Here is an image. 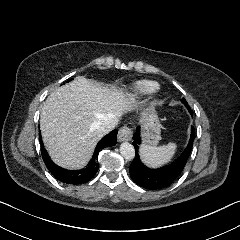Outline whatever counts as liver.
I'll return each mask as SVG.
<instances>
[{
	"mask_svg": "<svg viewBox=\"0 0 240 240\" xmlns=\"http://www.w3.org/2000/svg\"><path fill=\"white\" fill-rule=\"evenodd\" d=\"M136 107L134 95L79 76L44 102L40 118L44 145L57 165L81 169L103 136L98 122L109 115L120 118Z\"/></svg>",
	"mask_w": 240,
	"mask_h": 240,
	"instance_id": "liver-1",
	"label": "liver"
}]
</instances>
